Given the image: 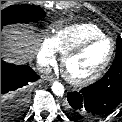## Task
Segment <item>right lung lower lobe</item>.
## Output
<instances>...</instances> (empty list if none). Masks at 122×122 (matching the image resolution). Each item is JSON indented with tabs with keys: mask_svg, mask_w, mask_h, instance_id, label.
<instances>
[{
	"mask_svg": "<svg viewBox=\"0 0 122 122\" xmlns=\"http://www.w3.org/2000/svg\"><path fill=\"white\" fill-rule=\"evenodd\" d=\"M38 79L39 76L29 66L8 64L1 59V122L13 121L23 111L26 86ZM7 98L11 99L10 109L6 107Z\"/></svg>",
	"mask_w": 122,
	"mask_h": 122,
	"instance_id": "98d812e1",
	"label": "right lung lower lobe"
}]
</instances>
